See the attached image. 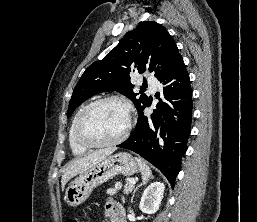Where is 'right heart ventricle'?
Here are the masks:
<instances>
[{"mask_svg": "<svg viewBox=\"0 0 257 222\" xmlns=\"http://www.w3.org/2000/svg\"><path fill=\"white\" fill-rule=\"evenodd\" d=\"M86 108L83 107L82 109H80L78 111V113L75 115L74 119L72 120V123L70 125V128H69V132H68V140H69V146H70V149L72 151V153L74 155H80V154H83L85 152L88 151L89 148L87 147H84L82 145H80L76 139H75V134H74V130H75V124H76V121L79 117V115L81 114V112Z\"/></svg>", "mask_w": 257, "mask_h": 222, "instance_id": "obj_1", "label": "right heart ventricle"}]
</instances>
